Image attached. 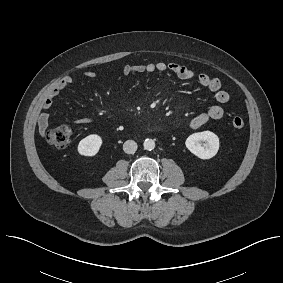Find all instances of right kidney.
Instances as JSON below:
<instances>
[{
  "label": "right kidney",
  "instance_id": "right-kidney-1",
  "mask_svg": "<svg viewBox=\"0 0 283 283\" xmlns=\"http://www.w3.org/2000/svg\"><path fill=\"white\" fill-rule=\"evenodd\" d=\"M102 145V138L97 134H91L83 138L77 147V151L83 156H94Z\"/></svg>",
  "mask_w": 283,
  "mask_h": 283
}]
</instances>
